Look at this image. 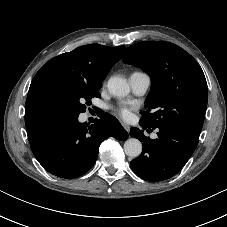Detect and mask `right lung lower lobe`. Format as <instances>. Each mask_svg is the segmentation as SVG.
I'll use <instances>...</instances> for the list:
<instances>
[{"label":"right lung lower lobe","instance_id":"right-lung-lower-lobe-1","mask_svg":"<svg viewBox=\"0 0 227 227\" xmlns=\"http://www.w3.org/2000/svg\"><path fill=\"white\" fill-rule=\"evenodd\" d=\"M111 136L119 140L128 138L118 120L104 113L92 125L80 123L78 117L64 120L30 145L35 158L46 171L70 179L92 168L100 144Z\"/></svg>","mask_w":227,"mask_h":227}]
</instances>
